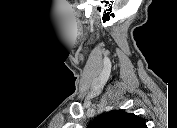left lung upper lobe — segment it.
<instances>
[{"label":"left lung upper lobe","instance_id":"1","mask_svg":"<svg viewBox=\"0 0 177 128\" xmlns=\"http://www.w3.org/2000/svg\"><path fill=\"white\" fill-rule=\"evenodd\" d=\"M92 128H146L144 120L133 113L112 110L95 118Z\"/></svg>","mask_w":177,"mask_h":128}]
</instances>
